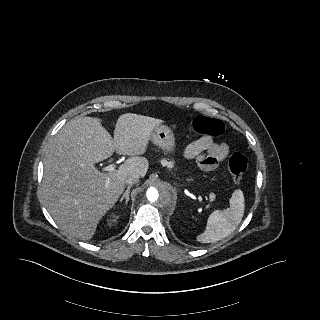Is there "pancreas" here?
Wrapping results in <instances>:
<instances>
[{
	"instance_id": "cf45deb5",
	"label": "pancreas",
	"mask_w": 320,
	"mask_h": 320,
	"mask_svg": "<svg viewBox=\"0 0 320 320\" xmlns=\"http://www.w3.org/2000/svg\"><path fill=\"white\" fill-rule=\"evenodd\" d=\"M161 164L163 166H166L168 168H172L173 167V161H167L166 159L161 160ZM215 198V195L212 193L210 194V200L213 201Z\"/></svg>"
}]
</instances>
